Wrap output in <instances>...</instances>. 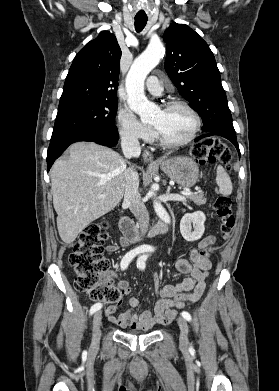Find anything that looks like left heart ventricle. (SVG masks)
I'll list each match as a JSON object with an SVG mask.
<instances>
[{
    "mask_svg": "<svg viewBox=\"0 0 279 391\" xmlns=\"http://www.w3.org/2000/svg\"><path fill=\"white\" fill-rule=\"evenodd\" d=\"M151 124L156 126L166 139L181 141L191 133L194 118L183 107H173L168 110H158Z\"/></svg>",
    "mask_w": 279,
    "mask_h": 391,
    "instance_id": "obj_1",
    "label": "left heart ventricle"
}]
</instances>
